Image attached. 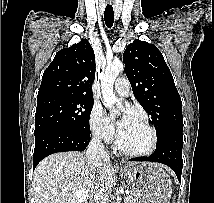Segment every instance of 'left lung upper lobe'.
Instances as JSON below:
<instances>
[{"label": "left lung upper lobe", "instance_id": "1", "mask_svg": "<svg viewBox=\"0 0 214 203\" xmlns=\"http://www.w3.org/2000/svg\"><path fill=\"white\" fill-rule=\"evenodd\" d=\"M123 60L134 96L155 126L157 141L172 130H183L181 98L159 49L135 39L124 51Z\"/></svg>", "mask_w": 214, "mask_h": 203}]
</instances>
